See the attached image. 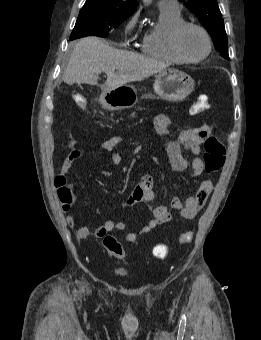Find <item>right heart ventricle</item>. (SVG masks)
<instances>
[{
	"instance_id": "obj_1",
	"label": "right heart ventricle",
	"mask_w": 261,
	"mask_h": 340,
	"mask_svg": "<svg viewBox=\"0 0 261 340\" xmlns=\"http://www.w3.org/2000/svg\"><path fill=\"white\" fill-rule=\"evenodd\" d=\"M184 21L181 11L160 9L158 23L147 30L141 39V50L148 56L172 63L183 61L171 48V34L173 29Z\"/></svg>"
}]
</instances>
